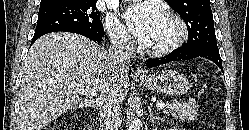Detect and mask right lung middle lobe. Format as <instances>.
<instances>
[{
	"label": "right lung middle lobe",
	"instance_id": "dd1d6c3e",
	"mask_svg": "<svg viewBox=\"0 0 249 130\" xmlns=\"http://www.w3.org/2000/svg\"><path fill=\"white\" fill-rule=\"evenodd\" d=\"M95 3V0H65L58 4L40 6L34 34L83 29L103 36L100 13Z\"/></svg>",
	"mask_w": 249,
	"mask_h": 130
}]
</instances>
